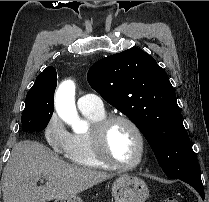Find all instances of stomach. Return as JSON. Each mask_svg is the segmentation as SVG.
Segmentation results:
<instances>
[{"label": "stomach", "instance_id": "obj_1", "mask_svg": "<svg viewBox=\"0 0 209 202\" xmlns=\"http://www.w3.org/2000/svg\"><path fill=\"white\" fill-rule=\"evenodd\" d=\"M116 202H145L149 196L147 184L136 176L122 175L112 185ZM55 202H83L78 195L58 198Z\"/></svg>", "mask_w": 209, "mask_h": 202}]
</instances>
